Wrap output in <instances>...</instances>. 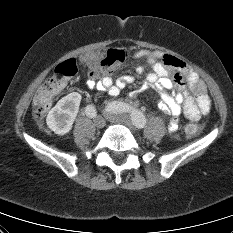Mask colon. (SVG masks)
<instances>
[{"mask_svg":"<svg viewBox=\"0 0 233 233\" xmlns=\"http://www.w3.org/2000/svg\"><path fill=\"white\" fill-rule=\"evenodd\" d=\"M127 56V52L123 50H109L106 57L100 63L90 68L89 76L96 79L111 73L114 68L121 65L127 59ZM76 72L77 64L73 59L64 61L55 68L54 74L47 78L35 94L33 103L35 107V116L37 118L41 119L46 115L55 96L63 88L66 81L74 76ZM201 129V125L190 122L185 127V133L193 136L198 134Z\"/></svg>","mask_w":233,"mask_h":233,"instance_id":"1","label":"colon"}]
</instances>
